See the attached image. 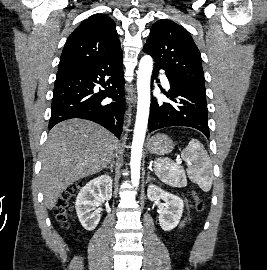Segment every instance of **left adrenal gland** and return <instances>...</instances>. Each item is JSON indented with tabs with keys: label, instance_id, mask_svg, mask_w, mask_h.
<instances>
[{
	"label": "left adrenal gland",
	"instance_id": "obj_1",
	"mask_svg": "<svg viewBox=\"0 0 267 270\" xmlns=\"http://www.w3.org/2000/svg\"><path fill=\"white\" fill-rule=\"evenodd\" d=\"M154 178L150 176V171H148L147 173V182L150 181V180H153Z\"/></svg>",
	"mask_w": 267,
	"mask_h": 270
}]
</instances>
